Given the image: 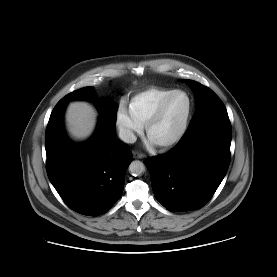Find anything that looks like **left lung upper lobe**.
Listing matches in <instances>:
<instances>
[{
  "instance_id": "5c2ea615",
  "label": "left lung upper lobe",
  "mask_w": 277,
  "mask_h": 277,
  "mask_svg": "<svg viewBox=\"0 0 277 277\" xmlns=\"http://www.w3.org/2000/svg\"><path fill=\"white\" fill-rule=\"evenodd\" d=\"M183 81L190 86L196 97V110L189 127L214 114L227 112L222 101L209 88L192 80L184 79Z\"/></svg>"
}]
</instances>
